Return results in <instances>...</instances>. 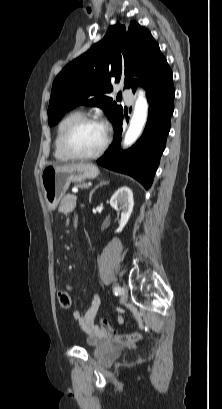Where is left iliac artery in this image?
I'll return each instance as SVG.
<instances>
[{
  "instance_id": "1",
  "label": "left iliac artery",
  "mask_w": 222,
  "mask_h": 409,
  "mask_svg": "<svg viewBox=\"0 0 222 409\" xmlns=\"http://www.w3.org/2000/svg\"><path fill=\"white\" fill-rule=\"evenodd\" d=\"M113 292L115 295L121 294V287L119 286L114 287Z\"/></svg>"
}]
</instances>
